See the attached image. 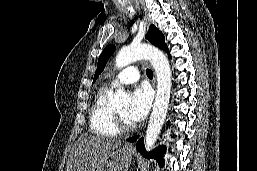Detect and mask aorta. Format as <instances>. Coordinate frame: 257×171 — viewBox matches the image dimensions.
<instances>
[{"label": "aorta", "instance_id": "762f6f07", "mask_svg": "<svg viewBox=\"0 0 257 171\" xmlns=\"http://www.w3.org/2000/svg\"><path fill=\"white\" fill-rule=\"evenodd\" d=\"M140 59L149 60L157 76V94L145 137V147L150 150L166 118L171 92V69L163 52L148 44H132L123 47L118 52L115 62L118 68H122ZM111 103L113 105L129 104L130 97L123 88H119L111 99Z\"/></svg>", "mask_w": 257, "mask_h": 171}]
</instances>
